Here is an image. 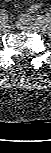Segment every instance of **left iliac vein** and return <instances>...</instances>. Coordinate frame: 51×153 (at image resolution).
<instances>
[{
    "label": "left iliac vein",
    "instance_id": "left-iliac-vein-1",
    "mask_svg": "<svg viewBox=\"0 0 51 153\" xmlns=\"http://www.w3.org/2000/svg\"><path fill=\"white\" fill-rule=\"evenodd\" d=\"M17 26L21 29H31L36 31L44 32L46 26L38 21H32V19H26L25 16H21L17 22Z\"/></svg>",
    "mask_w": 51,
    "mask_h": 153
}]
</instances>
